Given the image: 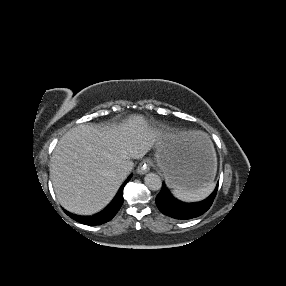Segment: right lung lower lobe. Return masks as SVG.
Here are the masks:
<instances>
[{
    "label": "right lung lower lobe",
    "instance_id": "obj_1",
    "mask_svg": "<svg viewBox=\"0 0 286 286\" xmlns=\"http://www.w3.org/2000/svg\"><path fill=\"white\" fill-rule=\"evenodd\" d=\"M130 178L131 176H129L125 183L121 186L112 202L101 212L92 216H79L64 210L65 213L75 221L85 225H101L105 222H108L116 215L121 205L123 204V187L130 180Z\"/></svg>",
    "mask_w": 286,
    "mask_h": 286
}]
</instances>
